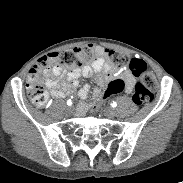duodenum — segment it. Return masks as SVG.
I'll use <instances>...</instances> for the list:
<instances>
[{
  "instance_id": "1",
  "label": "duodenum",
  "mask_w": 183,
  "mask_h": 183,
  "mask_svg": "<svg viewBox=\"0 0 183 183\" xmlns=\"http://www.w3.org/2000/svg\"><path fill=\"white\" fill-rule=\"evenodd\" d=\"M94 96H93V99L95 100V101H98L99 99H100V94H101V91L99 90V89H96L95 91H94ZM80 107L82 108V109H85L86 107H87V104L85 103V102H82L81 104H80Z\"/></svg>"
}]
</instances>
